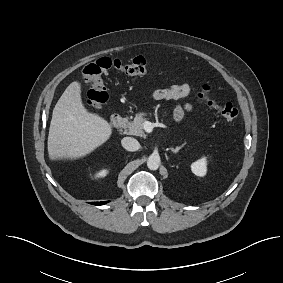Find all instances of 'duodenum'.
I'll return each mask as SVG.
<instances>
[{"instance_id": "obj_1", "label": "duodenum", "mask_w": 283, "mask_h": 283, "mask_svg": "<svg viewBox=\"0 0 283 283\" xmlns=\"http://www.w3.org/2000/svg\"><path fill=\"white\" fill-rule=\"evenodd\" d=\"M126 119L123 115L116 114L112 117L110 126L112 129H120L124 127Z\"/></svg>"}]
</instances>
